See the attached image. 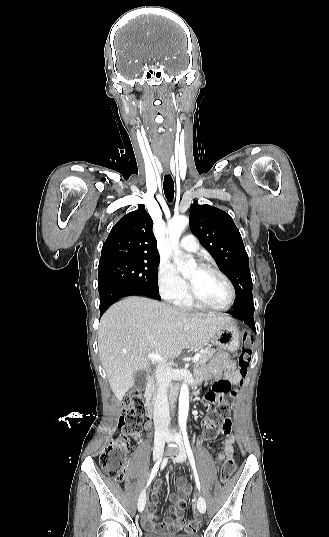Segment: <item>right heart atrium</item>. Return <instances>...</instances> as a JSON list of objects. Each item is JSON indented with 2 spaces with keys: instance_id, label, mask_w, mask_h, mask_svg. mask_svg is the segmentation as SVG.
<instances>
[{
  "instance_id": "1",
  "label": "right heart atrium",
  "mask_w": 329,
  "mask_h": 537,
  "mask_svg": "<svg viewBox=\"0 0 329 537\" xmlns=\"http://www.w3.org/2000/svg\"><path fill=\"white\" fill-rule=\"evenodd\" d=\"M158 290L162 297L178 302L187 295V284L168 260H162L157 272Z\"/></svg>"
}]
</instances>
